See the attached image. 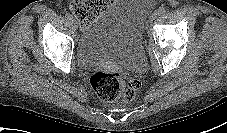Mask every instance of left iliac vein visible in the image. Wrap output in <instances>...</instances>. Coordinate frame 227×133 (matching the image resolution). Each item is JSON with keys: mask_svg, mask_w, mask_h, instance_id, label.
<instances>
[{"mask_svg": "<svg viewBox=\"0 0 227 133\" xmlns=\"http://www.w3.org/2000/svg\"><path fill=\"white\" fill-rule=\"evenodd\" d=\"M156 18H157V14L155 13L151 14V16L149 17V22H153Z\"/></svg>", "mask_w": 227, "mask_h": 133, "instance_id": "left-iliac-vein-1", "label": "left iliac vein"}]
</instances>
